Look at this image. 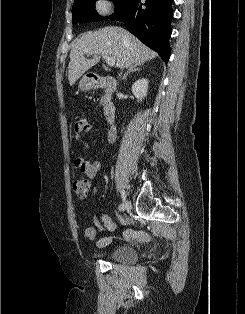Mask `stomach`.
Here are the masks:
<instances>
[{
    "label": "stomach",
    "instance_id": "obj_1",
    "mask_svg": "<svg viewBox=\"0 0 245 314\" xmlns=\"http://www.w3.org/2000/svg\"><path fill=\"white\" fill-rule=\"evenodd\" d=\"M93 87V82L88 76H83L79 82V88L83 91H87Z\"/></svg>",
    "mask_w": 245,
    "mask_h": 314
}]
</instances>
